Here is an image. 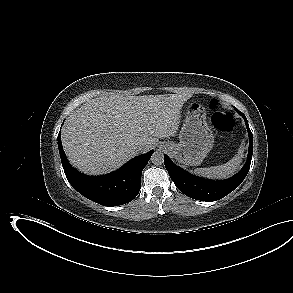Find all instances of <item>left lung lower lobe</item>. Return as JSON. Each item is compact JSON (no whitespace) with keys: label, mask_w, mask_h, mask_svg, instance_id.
I'll return each mask as SVG.
<instances>
[{"label":"left lung lower lobe","mask_w":293,"mask_h":293,"mask_svg":"<svg viewBox=\"0 0 293 293\" xmlns=\"http://www.w3.org/2000/svg\"><path fill=\"white\" fill-rule=\"evenodd\" d=\"M245 120L249 135V152L245 165L235 176L226 179L212 181L193 176L182 168L171 162L167 155H164L165 167L174 182L175 186L186 196L201 201H216L236 189L245 179L251 164L253 154V134L249 128L245 115L238 111Z\"/></svg>","instance_id":"1"}]
</instances>
